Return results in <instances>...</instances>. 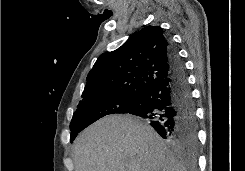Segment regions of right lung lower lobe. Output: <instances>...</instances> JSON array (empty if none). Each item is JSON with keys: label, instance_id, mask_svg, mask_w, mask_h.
Returning a JSON list of instances; mask_svg holds the SVG:
<instances>
[{"label": "right lung lower lobe", "instance_id": "right-lung-lower-lobe-1", "mask_svg": "<svg viewBox=\"0 0 245 171\" xmlns=\"http://www.w3.org/2000/svg\"><path fill=\"white\" fill-rule=\"evenodd\" d=\"M170 74L140 95V102L128 113L144 118L168 140L191 155L197 151V119L184 64L170 42Z\"/></svg>", "mask_w": 245, "mask_h": 171}]
</instances>
